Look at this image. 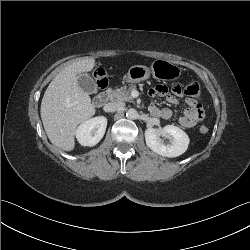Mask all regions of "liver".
<instances>
[{"label": "liver", "instance_id": "obj_1", "mask_svg": "<svg viewBox=\"0 0 250 250\" xmlns=\"http://www.w3.org/2000/svg\"><path fill=\"white\" fill-rule=\"evenodd\" d=\"M94 58H86L66 66L47 87L41 102V119L52 144L65 151L75 147L77 125L95 114L88 93L78 85V77L90 72Z\"/></svg>", "mask_w": 250, "mask_h": 250}]
</instances>
